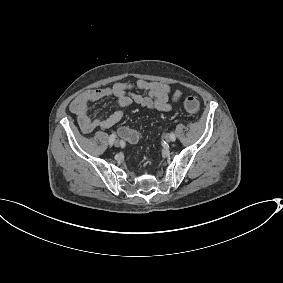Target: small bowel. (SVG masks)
I'll list each match as a JSON object with an SVG mask.
<instances>
[{"mask_svg": "<svg viewBox=\"0 0 283 283\" xmlns=\"http://www.w3.org/2000/svg\"><path fill=\"white\" fill-rule=\"evenodd\" d=\"M180 97L179 90L171 91L164 83L140 79L135 83L118 82L110 87L86 90L71 102L70 110L76 116L81 131L90 133L96 128L108 129L116 125L133 103L152 110L170 111ZM103 98L116 100L114 110L110 114L91 118L89 104Z\"/></svg>", "mask_w": 283, "mask_h": 283, "instance_id": "small-bowel-1", "label": "small bowel"}]
</instances>
